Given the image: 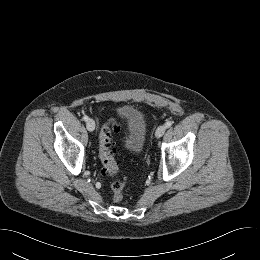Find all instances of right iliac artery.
<instances>
[{
	"mask_svg": "<svg viewBox=\"0 0 260 260\" xmlns=\"http://www.w3.org/2000/svg\"><path fill=\"white\" fill-rule=\"evenodd\" d=\"M83 119H84V121H88L89 118H88V116L85 115V116H83Z\"/></svg>",
	"mask_w": 260,
	"mask_h": 260,
	"instance_id": "82829eb1",
	"label": "right iliac artery"
}]
</instances>
